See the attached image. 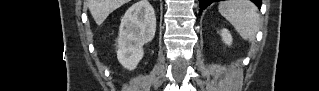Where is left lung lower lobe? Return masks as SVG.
I'll list each match as a JSON object with an SVG mask.
<instances>
[{"mask_svg": "<svg viewBox=\"0 0 319 91\" xmlns=\"http://www.w3.org/2000/svg\"><path fill=\"white\" fill-rule=\"evenodd\" d=\"M215 0H199V4H200V13L208 6L210 5L212 2H214ZM252 2H254L258 7L261 6V0H251Z\"/></svg>", "mask_w": 319, "mask_h": 91, "instance_id": "1", "label": "left lung lower lobe"}]
</instances>
